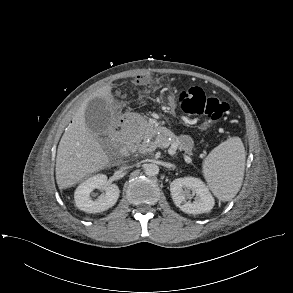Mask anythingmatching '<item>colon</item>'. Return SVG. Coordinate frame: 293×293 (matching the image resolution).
I'll list each match as a JSON object with an SVG mask.
<instances>
[{
    "label": "colon",
    "mask_w": 293,
    "mask_h": 293,
    "mask_svg": "<svg viewBox=\"0 0 293 293\" xmlns=\"http://www.w3.org/2000/svg\"><path fill=\"white\" fill-rule=\"evenodd\" d=\"M179 104L187 115L204 116L217 120L229 110V105L216 97L208 96L199 86H191L179 94Z\"/></svg>",
    "instance_id": "colon-1"
}]
</instances>
